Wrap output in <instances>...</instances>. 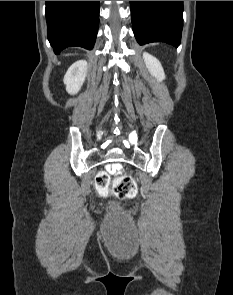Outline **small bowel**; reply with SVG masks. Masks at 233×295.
Masks as SVG:
<instances>
[{
	"label": "small bowel",
	"mask_w": 233,
	"mask_h": 295,
	"mask_svg": "<svg viewBox=\"0 0 233 295\" xmlns=\"http://www.w3.org/2000/svg\"><path fill=\"white\" fill-rule=\"evenodd\" d=\"M108 170L112 174H119L121 171V165L119 163H114L108 166Z\"/></svg>",
	"instance_id": "1"
}]
</instances>
